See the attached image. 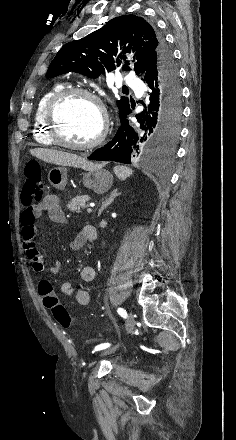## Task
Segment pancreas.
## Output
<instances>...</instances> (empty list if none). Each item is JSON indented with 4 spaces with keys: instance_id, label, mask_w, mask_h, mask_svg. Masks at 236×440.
I'll list each match as a JSON object with an SVG mask.
<instances>
[{
    "instance_id": "obj_1",
    "label": "pancreas",
    "mask_w": 236,
    "mask_h": 440,
    "mask_svg": "<svg viewBox=\"0 0 236 440\" xmlns=\"http://www.w3.org/2000/svg\"><path fill=\"white\" fill-rule=\"evenodd\" d=\"M89 200L88 195H79L74 198H72L69 202L67 207L72 212H79L81 209H84L86 207V202Z\"/></svg>"
}]
</instances>
